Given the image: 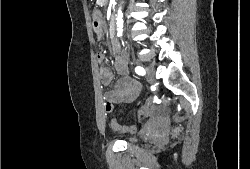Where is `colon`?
Returning a JSON list of instances; mask_svg holds the SVG:
<instances>
[{
    "label": "colon",
    "mask_w": 250,
    "mask_h": 169,
    "mask_svg": "<svg viewBox=\"0 0 250 169\" xmlns=\"http://www.w3.org/2000/svg\"><path fill=\"white\" fill-rule=\"evenodd\" d=\"M93 31L97 38H100L101 36V24L98 18H94L93 21ZM107 108H115V103H107ZM106 114H113V109H106ZM178 126H174L172 130V139H181V135H183V122H178ZM111 128L115 131H127L128 128L121 127L119 124H117L114 120L111 122ZM137 127L132 128L133 130Z\"/></svg>",
    "instance_id": "5ec220e1"
}]
</instances>
